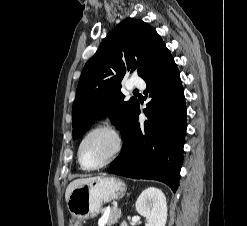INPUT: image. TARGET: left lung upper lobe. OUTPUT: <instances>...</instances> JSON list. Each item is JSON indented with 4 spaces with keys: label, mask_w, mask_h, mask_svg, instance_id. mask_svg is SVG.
<instances>
[{
    "label": "left lung upper lobe",
    "mask_w": 247,
    "mask_h": 226,
    "mask_svg": "<svg viewBox=\"0 0 247 226\" xmlns=\"http://www.w3.org/2000/svg\"><path fill=\"white\" fill-rule=\"evenodd\" d=\"M164 46L154 28L138 19H125L107 35L85 64L78 82L73 104L74 139L109 113L118 130L128 125L138 101H124L121 81L134 71L143 77Z\"/></svg>",
    "instance_id": "left-lung-upper-lobe-1"
}]
</instances>
